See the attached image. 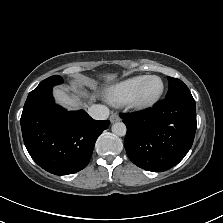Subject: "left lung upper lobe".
I'll return each mask as SVG.
<instances>
[{
    "instance_id": "obj_1",
    "label": "left lung upper lobe",
    "mask_w": 223,
    "mask_h": 223,
    "mask_svg": "<svg viewBox=\"0 0 223 223\" xmlns=\"http://www.w3.org/2000/svg\"><path fill=\"white\" fill-rule=\"evenodd\" d=\"M169 81V90L166 98H189L193 99L188 87L179 79L167 77Z\"/></svg>"
}]
</instances>
